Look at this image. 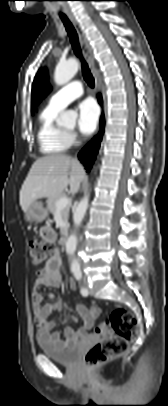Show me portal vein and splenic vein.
Wrapping results in <instances>:
<instances>
[{"label": "portal vein and splenic vein", "mask_w": 168, "mask_h": 406, "mask_svg": "<svg viewBox=\"0 0 168 406\" xmlns=\"http://www.w3.org/2000/svg\"><path fill=\"white\" fill-rule=\"evenodd\" d=\"M70 203V199L67 197H63L56 202L57 210L64 209Z\"/></svg>", "instance_id": "18ae733b"}]
</instances>
